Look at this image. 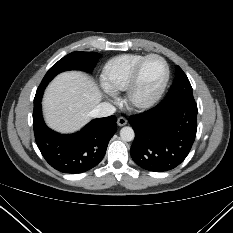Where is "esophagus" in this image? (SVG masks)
Segmentation results:
<instances>
[{"label": "esophagus", "mask_w": 233, "mask_h": 233, "mask_svg": "<svg viewBox=\"0 0 233 233\" xmlns=\"http://www.w3.org/2000/svg\"><path fill=\"white\" fill-rule=\"evenodd\" d=\"M117 124H118L119 126H124V125L127 124V119H126L125 117H119V118L117 119Z\"/></svg>", "instance_id": "34e87169"}]
</instances>
